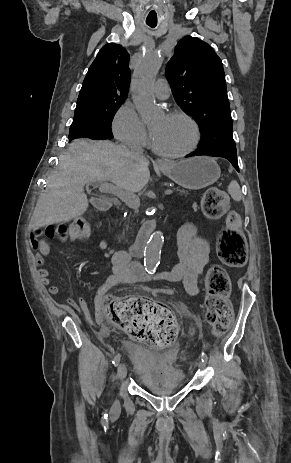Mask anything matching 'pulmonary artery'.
Here are the masks:
<instances>
[{"label":"pulmonary artery","mask_w":291,"mask_h":463,"mask_svg":"<svg viewBox=\"0 0 291 463\" xmlns=\"http://www.w3.org/2000/svg\"><path fill=\"white\" fill-rule=\"evenodd\" d=\"M153 93L157 99L165 100L170 95V87L165 78H159L154 85Z\"/></svg>","instance_id":"obj_1"}]
</instances>
